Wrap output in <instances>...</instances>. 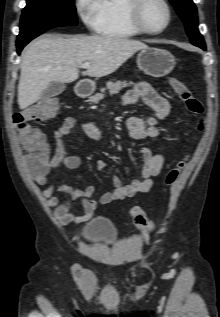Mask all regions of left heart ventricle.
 Wrapping results in <instances>:
<instances>
[{
    "label": "left heart ventricle",
    "instance_id": "b2bd125f",
    "mask_svg": "<svg viewBox=\"0 0 220 317\" xmlns=\"http://www.w3.org/2000/svg\"><path fill=\"white\" fill-rule=\"evenodd\" d=\"M143 20L151 29L162 28L167 20L165 7L158 0H149L143 9Z\"/></svg>",
    "mask_w": 220,
    "mask_h": 317
}]
</instances>
